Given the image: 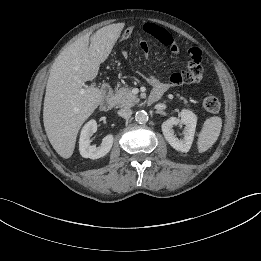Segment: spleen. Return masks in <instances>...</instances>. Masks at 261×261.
Segmentation results:
<instances>
[{"mask_svg":"<svg viewBox=\"0 0 261 261\" xmlns=\"http://www.w3.org/2000/svg\"><path fill=\"white\" fill-rule=\"evenodd\" d=\"M222 128V119L218 116H213L203 124V128L198 135L197 147L199 153L207 151L217 141Z\"/></svg>","mask_w":261,"mask_h":261,"instance_id":"1","label":"spleen"}]
</instances>
